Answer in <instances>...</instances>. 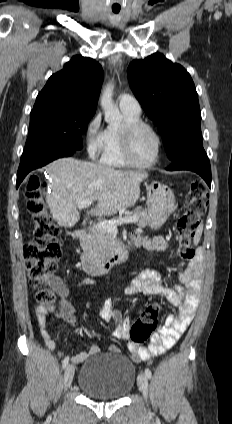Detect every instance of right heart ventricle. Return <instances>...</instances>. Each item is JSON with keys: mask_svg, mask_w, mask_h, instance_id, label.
<instances>
[{"mask_svg": "<svg viewBox=\"0 0 232 424\" xmlns=\"http://www.w3.org/2000/svg\"><path fill=\"white\" fill-rule=\"evenodd\" d=\"M124 124L140 120V115L122 111ZM121 127L108 126L104 130V148L100 162L111 167H126L121 149Z\"/></svg>", "mask_w": 232, "mask_h": 424, "instance_id": "obj_1", "label": "right heart ventricle"}]
</instances>
